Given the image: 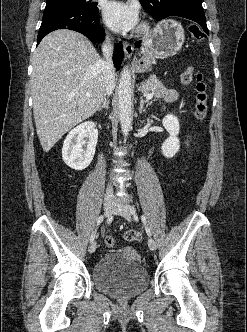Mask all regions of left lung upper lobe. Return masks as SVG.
<instances>
[{
  "instance_id": "1",
  "label": "left lung upper lobe",
  "mask_w": 247,
  "mask_h": 332,
  "mask_svg": "<svg viewBox=\"0 0 247 332\" xmlns=\"http://www.w3.org/2000/svg\"><path fill=\"white\" fill-rule=\"evenodd\" d=\"M140 3L158 21L176 10L204 12L202 0H140Z\"/></svg>"
}]
</instances>
